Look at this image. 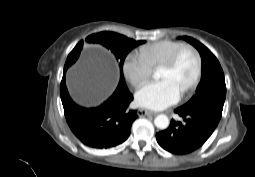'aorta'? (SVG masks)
Masks as SVG:
<instances>
[{
	"label": "aorta",
	"instance_id": "762f6f07",
	"mask_svg": "<svg viewBox=\"0 0 255 177\" xmlns=\"http://www.w3.org/2000/svg\"><path fill=\"white\" fill-rule=\"evenodd\" d=\"M154 124L159 129H166L169 126V118L164 114L157 115Z\"/></svg>",
	"mask_w": 255,
	"mask_h": 177
}]
</instances>
